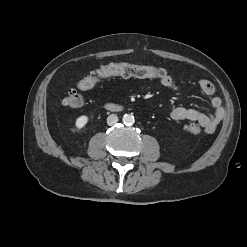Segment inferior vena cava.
<instances>
[{
  "mask_svg": "<svg viewBox=\"0 0 247 247\" xmlns=\"http://www.w3.org/2000/svg\"><path fill=\"white\" fill-rule=\"evenodd\" d=\"M117 122H118V116L116 114H111L107 117V124L109 126H112Z\"/></svg>",
  "mask_w": 247,
  "mask_h": 247,
  "instance_id": "1",
  "label": "inferior vena cava"
}]
</instances>
